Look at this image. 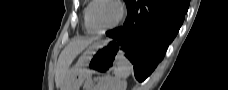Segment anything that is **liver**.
Instances as JSON below:
<instances>
[{"label":"liver","instance_id":"1","mask_svg":"<svg viewBox=\"0 0 228 90\" xmlns=\"http://www.w3.org/2000/svg\"><path fill=\"white\" fill-rule=\"evenodd\" d=\"M96 40H98V38L77 37L70 41L62 50L58 58L55 74L57 88H61V90H63L62 88L66 82L67 73L73 60Z\"/></svg>","mask_w":228,"mask_h":90}]
</instances>
